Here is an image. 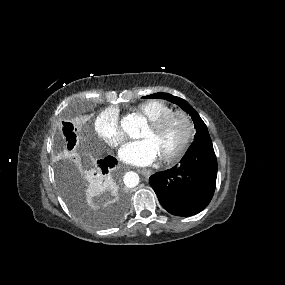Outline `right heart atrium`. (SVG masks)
<instances>
[{"instance_id": "d8ad5b80", "label": "right heart atrium", "mask_w": 285, "mask_h": 285, "mask_svg": "<svg viewBox=\"0 0 285 285\" xmlns=\"http://www.w3.org/2000/svg\"><path fill=\"white\" fill-rule=\"evenodd\" d=\"M94 131L105 144L116 148L125 140L119 117L113 110H105L94 119Z\"/></svg>"}]
</instances>
